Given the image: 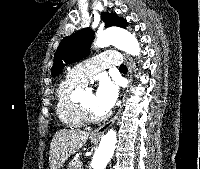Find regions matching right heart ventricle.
Returning a JSON list of instances; mask_svg holds the SVG:
<instances>
[{
  "label": "right heart ventricle",
  "instance_id": "right-heart-ventricle-1",
  "mask_svg": "<svg viewBox=\"0 0 200 169\" xmlns=\"http://www.w3.org/2000/svg\"><path fill=\"white\" fill-rule=\"evenodd\" d=\"M83 86L84 84L76 82L68 76L58 86L57 115L62 124L71 129L82 128L87 123L82 105L72 99L73 92Z\"/></svg>",
  "mask_w": 200,
  "mask_h": 169
}]
</instances>
